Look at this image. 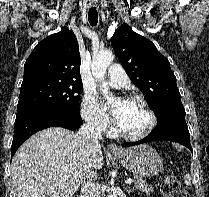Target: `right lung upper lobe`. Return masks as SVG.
<instances>
[{
  "label": "right lung upper lobe",
  "mask_w": 209,
  "mask_h": 197,
  "mask_svg": "<svg viewBox=\"0 0 209 197\" xmlns=\"http://www.w3.org/2000/svg\"><path fill=\"white\" fill-rule=\"evenodd\" d=\"M35 80L82 82L79 45L73 31L63 28L36 45L24 64L22 84Z\"/></svg>",
  "instance_id": "1"
}]
</instances>
